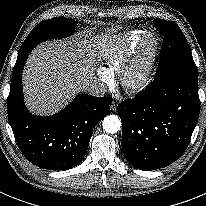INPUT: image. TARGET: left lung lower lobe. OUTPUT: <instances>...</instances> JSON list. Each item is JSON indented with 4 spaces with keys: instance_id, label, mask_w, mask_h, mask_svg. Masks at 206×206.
Listing matches in <instances>:
<instances>
[{
    "instance_id": "1",
    "label": "left lung lower lobe",
    "mask_w": 206,
    "mask_h": 206,
    "mask_svg": "<svg viewBox=\"0 0 206 206\" xmlns=\"http://www.w3.org/2000/svg\"><path fill=\"white\" fill-rule=\"evenodd\" d=\"M122 151L137 169L154 170L177 160L187 148L200 111L198 78L154 81L118 106Z\"/></svg>"
}]
</instances>
